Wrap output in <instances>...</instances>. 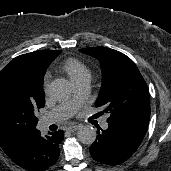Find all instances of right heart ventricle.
<instances>
[{
	"label": "right heart ventricle",
	"mask_w": 171,
	"mask_h": 171,
	"mask_svg": "<svg viewBox=\"0 0 171 171\" xmlns=\"http://www.w3.org/2000/svg\"><path fill=\"white\" fill-rule=\"evenodd\" d=\"M62 70L71 78L73 82L82 78L90 77V71L88 67L79 59L68 58L62 65Z\"/></svg>",
	"instance_id": "e07e8e85"
}]
</instances>
